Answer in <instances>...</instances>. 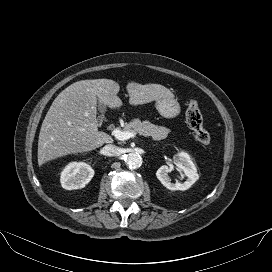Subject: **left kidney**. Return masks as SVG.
Instances as JSON below:
<instances>
[{
    "mask_svg": "<svg viewBox=\"0 0 272 272\" xmlns=\"http://www.w3.org/2000/svg\"><path fill=\"white\" fill-rule=\"evenodd\" d=\"M174 162L176 166L184 172L187 179L184 183L176 182L172 183L168 175L170 167L167 165L161 166L157 172L156 176L158 180L169 190H187L189 189L198 179L199 175L197 169L192 162L189 154L186 152H179L174 156Z\"/></svg>",
    "mask_w": 272,
    "mask_h": 272,
    "instance_id": "5707ae66",
    "label": "left kidney"
}]
</instances>
